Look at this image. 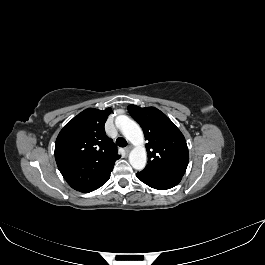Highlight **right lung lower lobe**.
<instances>
[{
  "label": "right lung lower lobe",
  "instance_id": "right-lung-lower-lobe-1",
  "mask_svg": "<svg viewBox=\"0 0 265 265\" xmlns=\"http://www.w3.org/2000/svg\"><path fill=\"white\" fill-rule=\"evenodd\" d=\"M109 178H110V175H109L107 178H105L103 181H101L100 183H98L97 185H95L94 187H92L91 189H89L88 191H86L85 193H87V192H91V191H93V190L98 189V188L101 187L103 184H105V183L108 181Z\"/></svg>",
  "mask_w": 265,
  "mask_h": 265
}]
</instances>
